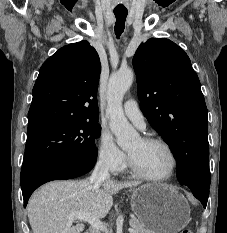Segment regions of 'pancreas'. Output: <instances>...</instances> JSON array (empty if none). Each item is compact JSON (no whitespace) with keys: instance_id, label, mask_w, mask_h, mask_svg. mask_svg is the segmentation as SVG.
Here are the masks:
<instances>
[{"instance_id":"obj_1","label":"pancreas","mask_w":227,"mask_h":233,"mask_svg":"<svg viewBox=\"0 0 227 233\" xmlns=\"http://www.w3.org/2000/svg\"><path fill=\"white\" fill-rule=\"evenodd\" d=\"M130 226L133 229L132 233H151L148 229H146L143 224L136 218H132L130 220Z\"/></svg>"}]
</instances>
